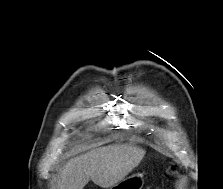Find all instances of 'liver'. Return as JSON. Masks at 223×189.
I'll return each instance as SVG.
<instances>
[{"label":"liver","instance_id":"1","mask_svg":"<svg viewBox=\"0 0 223 189\" xmlns=\"http://www.w3.org/2000/svg\"><path fill=\"white\" fill-rule=\"evenodd\" d=\"M145 155L132 145H109L69 159L59 168L55 189H83L92 180L109 188L123 180Z\"/></svg>","mask_w":223,"mask_h":189}]
</instances>
